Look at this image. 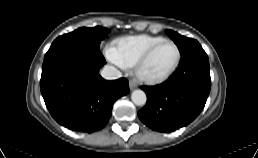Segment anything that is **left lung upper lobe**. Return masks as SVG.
<instances>
[{"label": "left lung upper lobe", "mask_w": 258, "mask_h": 158, "mask_svg": "<svg viewBox=\"0 0 258 158\" xmlns=\"http://www.w3.org/2000/svg\"><path fill=\"white\" fill-rule=\"evenodd\" d=\"M166 32L177 45L181 55L187 52L193 44L197 43L196 40L181 36L180 34L172 30H166Z\"/></svg>", "instance_id": "5c2ea615"}]
</instances>
